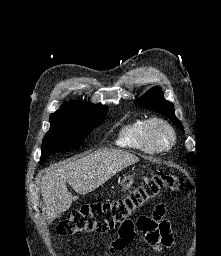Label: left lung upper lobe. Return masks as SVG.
I'll return each mask as SVG.
<instances>
[{
	"instance_id": "obj_1",
	"label": "left lung upper lobe",
	"mask_w": 221,
	"mask_h": 256,
	"mask_svg": "<svg viewBox=\"0 0 221 256\" xmlns=\"http://www.w3.org/2000/svg\"><path fill=\"white\" fill-rule=\"evenodd\" d=\"M135 104L137 106L147 108L149 110L157 111L167 116L173 122V124H175L182 131H184V128L181 122L178 120V118L174 114L175 110H174L173 103L167 101L163 97V92L161 91V88H158V87L151 88L145 95L138 98L135 101ZM188 163L191 165L193 164L192 155H189Z\"/></svg>"
}]
</instances>
